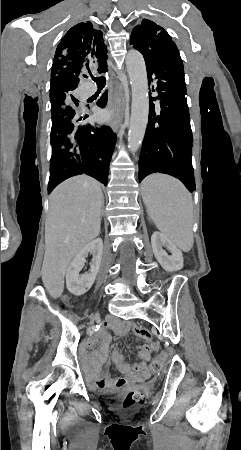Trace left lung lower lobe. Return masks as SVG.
<instances>
[{"mask_svg": "<svg viewBox=\"0 0 241 450\" xmlns=\"http://www.w3.org/2000/svg\"><path fill=\"white\" fill-rule=\"evenodd\" d=\"M153 62H146L148 81L156 75L158 96L150 97L147 131L139 158V181L151 173H167L195 190L191 161V127L183 63L172 43ZM154 91V90H153ZM160 100L156 116L153 101Z\"/></svg>", "mask_w": 241, "mask_h": 450, "instance_id": "1", "label": "left lung lower lobe"}]
</instances>
